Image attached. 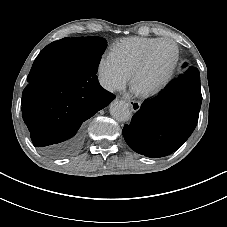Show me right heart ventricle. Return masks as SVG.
I'll return each instance as SVG.
<instances>
[{"label":"right heart ventricle","mask_w":227,"mask_h":227,"mask_svg":"<svg viewBox=\"0 0 227 227\" xmlns=\"http://www.w3.org/2000/svg\"><path fill=\"white\" fill-rule=\"evenodd\" d=\"M159 39L137 36L119 39L112 45L109 57L129 75L146 50Z\"/></svg>","instance_id":"right-heart-ventricle-1"}]
</instances>
